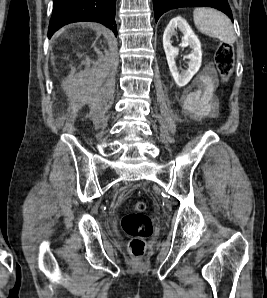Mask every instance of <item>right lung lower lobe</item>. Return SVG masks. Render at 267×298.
<instances>
[{
	"mask_svg": "<svg viewBox=\"0 0 267 298\" xmlns=\"http://www.w3.org/2000/svg\"><path fill=\"white\" fill-rule=\"evenodd\" d=\"M115 6L116 0H54L48 37L62 26L79 21L99 22L117 36Z\"/></svg>",
	"mask_w": 267,
	"mask_h": 298,
	"instance_id": "98d812e1",
	"label": "right lung lower lobe"
}]
</instances>
